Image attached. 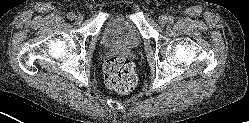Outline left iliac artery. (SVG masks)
Listing matches in <instances>:
<instances>
[{
    "label": "left iliac artery",
    "mask_w": 249,
    "mask_h": 123,
    "mask_svg": "<svg viewBox=\"0 0 249 123\" xmlns=\"http://www.w3.org/2000/svg\"><path fill=\"white\" fill-rule=\"evenodd\" d=\"M175 18L173 16L168 17V22L169 23H174Z\"/></svg>",
    "instance_id": "44dca946"
}]
</instances>
